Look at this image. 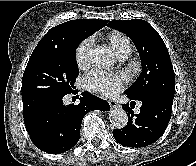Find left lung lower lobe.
<instances>
[{
  "label": "left lung lower lobe",
  "mask_w": 196,
  "mask_h": 166,
  "mask_svg": "<svg viewBox=\"0 0 196 166\" xmlns=\"http://www.w3.org/2000/svg\"><path fill=\"white\" fill-rule=\"evenodd\" d=\"M133 100L124 107L128 115V124L114 129L115 140L124 147L140 148L157 141L164 133L172 111L173 99L159 94H148ZM141 101L140 113L134 115L132 105Z\"/></svg>",
  "instance_id": "obj_1"
}]
</instances>
